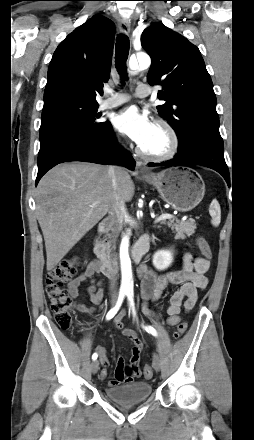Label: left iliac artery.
Segmentation results:
<instances>
[{"mask_svg":"<svg viewBox=\"0 0 254 440\" xmlns=\"http://www.w3.org/2000/svg\"><path fill=\"white\" fill-rule=\"evenodd\" d=\"M127 297H128V302H129L130 308L132 309L133 313L135 314L134 295H133V292H132V291L128 292V293H127ZM143 328H144L148 333H150V334H152V335H154V336L157 335L156 330H155L152 326H144Z\"/></svg>","mask_w":254,"mask_h":440,"instance_id":"obj_1","label":"left iliac artery"}]
</instances>
